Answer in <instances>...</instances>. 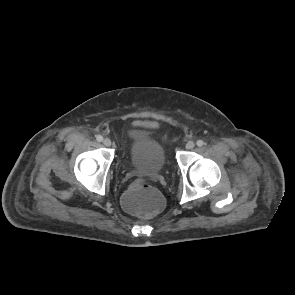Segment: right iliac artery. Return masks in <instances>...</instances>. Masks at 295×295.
I'll return each instance as SVG.
<instances>
[{
	"mask_svg": "<svg viewBox=\"0 0 295 295\" xmlns=\"http://www.w3.org/2000/svg\"><path fill=\"white\" fill-rule=\"evenodd\" d=\"M97 141L102 142L103 141V137L101 135H97L96 136Z\"/></svg>",
	"mask_w": 295,
	"mask_h": 295,
	"instance_id": "right-iliac-artery-1",
	"label": "right iliac artery"
}]
</instances>
